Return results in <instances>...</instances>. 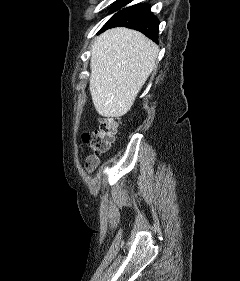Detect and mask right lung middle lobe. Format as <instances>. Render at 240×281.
Instances as JSON below:
<instances>
[{
  "mask_svg": "<svg viewBox=\"0 0 240 281\" xmlns=\"http://www.w3.org/2000/svg\"><path fill=\"white\" fill-rule=\"evenodd\" d=\"M122 1H123V0H118V1H116L115 4H114L113 9H114L117 5H119ZM113 9H112V10H113Z\"/></svg>",
  "mask_w": 240,
  "mask_h": 281,
  "instance_id": "1",
  "label": "right lung middle lobe"
}]
</instances>
